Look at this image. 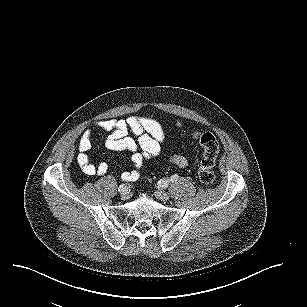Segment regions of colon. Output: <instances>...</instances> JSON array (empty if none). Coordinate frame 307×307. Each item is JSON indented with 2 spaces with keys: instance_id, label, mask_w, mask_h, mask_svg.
Wrapping results in <instances>:
<instances>
[{
  "instance_id": "1",
  "label": "colon",
  "mask_w": 307,
  "mask_h": 307,
  "mask_svg": "<svg viewBox=\"0 0 307 307\" xmlns=\"http://www.w3.org/2000/svg\"><path fill=\"white\" fill-rule=\"evenodd\" d=\"M193 138L202 148V159L200 162L198 177L204 184H211L215 181L214 165L219 152V144L212 133L195 132Z\"/></svg>"
}]
</instances>
